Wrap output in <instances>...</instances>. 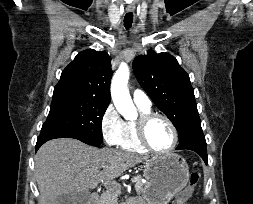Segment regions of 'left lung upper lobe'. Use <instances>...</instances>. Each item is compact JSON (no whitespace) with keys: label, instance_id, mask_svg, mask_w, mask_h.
Masks as SVG:
<instances>
[{"label":"left lung upper lobe","instance_id":"5c2ea615","mask_svg":"<svg viewBox=\"0 0 253 204\" xmlns=\"http://www.w3.org/2000/svg\"><path fill=\"white\" fill-rule=\"evenodd\" d=\"M133 70L142 88L176 127L180 139L190 124L200 119L188 74L175 57L152 50L135 58Z\"/></svg>","mask_w":253,"mask_h":204}]
</instances>
